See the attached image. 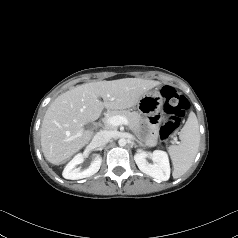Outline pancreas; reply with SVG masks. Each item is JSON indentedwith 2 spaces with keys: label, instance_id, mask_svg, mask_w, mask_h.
<instances>
[{
  "label": "pancreas",
  "instance_id": "pancreas-1",
  "mask_svg": "<svg viewBox=\"0 0 238 238\" xmlns=\"http://www.w3.org/2000/svg\"><path fill=\"white\" fill-rule=\"evenodd\" d=\"M112 116L125 117L133 129H136L140 119V115L137 112H130L129 110H115V111L109 112L107 116L105 117L104 121L107 123V119ZM108 127L112 128L111 125H108Z\"/></svg>",
  "mask_w": 238,
  "mask_h": 238
}]
</instances>
